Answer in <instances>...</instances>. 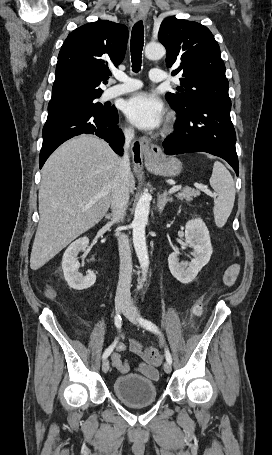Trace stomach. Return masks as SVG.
<instances>
[{
  "label": "stomach",
  "instance_id": "stomach-1",
  "mask_svg": "<svg viewBox=\"0 0 272 455\" xmlns=\"http://www.w3.org/2000/svg\"><path fill=\"white\" fill-rule=\"evenodd\" d=\"M146 167L156 175L175 177L182 171V162L175 157L162 156L147 161Z\"/></svg>",
  "mask_w": 272,
  "mask_h": 455
}]
</instances>
